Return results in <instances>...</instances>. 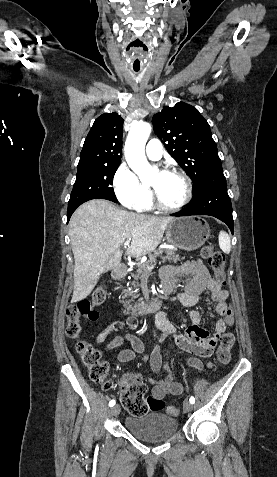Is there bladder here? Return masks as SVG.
I'll return each instance as SVG.
<instances>
[{
    "label": "bladder",
    "mask_w": 277,
    "mask_h": 477,
    "mask_svg": "<svg viewBox=\"0 0 277 477\" xmlns=\"http://www.w3.org/2000/svg\"><path fill=\"white\" fill-rule=\"evenodd\" d=\"M125 427L136 437L145 441H160L169 438L178 430L176 418L152 411L140 416H128Z\"/></svg>",
    "instance_id": "1"
}]
</instances>
